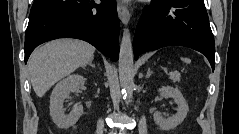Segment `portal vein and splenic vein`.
Returning a JSON list of instances; mask_svg holds the SVG:
<instances>
[{"label": "portal vein and splenic vein", "mask_w": 239, "mask_h": 134, "mask_svg": "<svg viewBox=\"0 0 239 134\" xmlns=\"http://www.w3.org/2000/svg\"><path fill=\"white\" fill-rule=\"evenodd\" d=\"M168 74H169V75H172V74H173V72H169Z\"/></svg>", "instance_id": "obj_1"}]
</instances>
